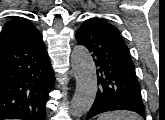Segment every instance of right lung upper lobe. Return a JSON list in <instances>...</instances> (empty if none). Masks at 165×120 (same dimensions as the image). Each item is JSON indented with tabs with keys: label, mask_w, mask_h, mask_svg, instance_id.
<instances>
[{
	"label": "right lung upper lobe",
	"mask_w": 165,
	"mask_h": 120,
	"mask_svg": "<svg viewBox=\"0 0 165 120\" xmlns=\"http://www.w3.org/2000/svg\"><path fill=\"white\" fill-rule=\"evenodd\" d=\"M38 33L39 31L29 20L22 17H15L13 20L7 22L3 27L0 38V48L32 37Z\"/></svg>",
	"instance_id": "1"
}]
</instances>
